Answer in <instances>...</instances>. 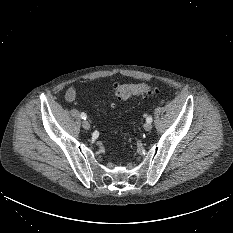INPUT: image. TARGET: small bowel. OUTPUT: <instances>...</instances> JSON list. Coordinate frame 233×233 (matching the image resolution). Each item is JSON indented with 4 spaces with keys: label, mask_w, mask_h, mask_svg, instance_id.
<instances>
[{
    "label": "small bowel",
    "mask_w": 233,
    "mask_h": 233,
    "mask_svg": "<svg viewBox=\"0 0 233 233\" xmlns=\"http://www.w3.org/2000/svg\"><path fill=\"white\" fill-rule=\"evenodd\" d=\"M77 96V90L74 87H71L68 89L67 93H66V99L68 101H73Z\"/></svg>",
    "instance_id": "small-bowel-1"
}]
</instances>
